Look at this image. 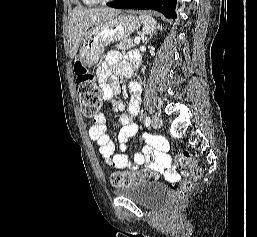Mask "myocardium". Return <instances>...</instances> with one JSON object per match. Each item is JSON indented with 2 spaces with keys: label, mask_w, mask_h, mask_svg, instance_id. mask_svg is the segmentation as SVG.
<instances>
[{
  "label": "myocardium",
  "mask_w": 257,
  "mask_h": 237,
  "mask_svg": "<svg viewBox=\"0 0 257 237\" xmlns=\"http://www.w3.org/2000/svg\"><path fill=\"white\" fill-rule=\"evenodd\" d=\"M111 1H114V0H95L96 3H107Z\"/></svg>",
  "instance_id": "f54148a6"
}]
</instances>
